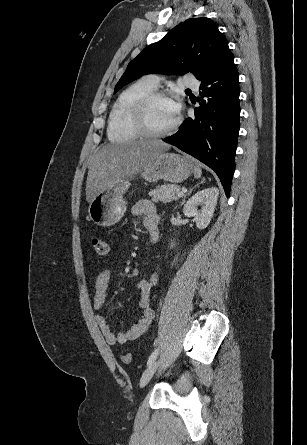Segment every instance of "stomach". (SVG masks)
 Masks as SVG:
<instances>
[{
    "label": "stomach",
    "mask_w": 307,
    "mask_h": 445,
    "mask_svg": "<svg viewBox=\"0 0 307 445\" xmlns=\"http://www.w3.org/2000/svg\"><path fill=\"white\" fill-rule=\"evenodd\" d=\"M192 170L193 164L185 156L164 152L156 156L153 164L141 170L140 174L148 182H156L159 178H164L176 184V182L186 180ZM130 184V178H120L94 196L88 206V212L95 225L113 227L119 223L126 212L127 202L124 194L130 188Z\"/></svg>",
    "instance_id": "obj_1"
}]
</instances>
